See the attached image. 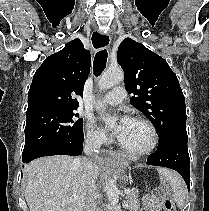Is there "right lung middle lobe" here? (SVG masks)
Masks as SVG:
<instances>
[{
    "label": "right lung middle lobe",
    "mask_w": 209,
    "mask_h": 211,
    "mask_svg": "<svg viewBox=\"0 0 209 211\" xmlns=\"http://www.w3.org/2000/svg\"><path fill=\"white\" fill-rule=\"evenodd\" d=\"M78 116L75 110L59 109L27 113L22 158L52 143L82 140L83 119L76 120Z\"/></svg>",
    "instance_id": "1"
}]
</instances>
